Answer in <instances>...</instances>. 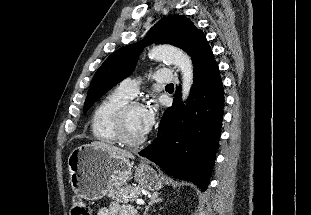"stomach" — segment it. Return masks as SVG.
I'll list each match as a JSON object with an SVG mask.
<instances>
[{
	"label": "stomach",
	"mask_w": 311,
	"mask_h": 215,
	"mask_svg": "<svg viewBox=\"0 0 311 215\" xmlns=\"http://www.w3.org/2000/svg\"><path fill=\"white\" fill-rule=\"evenodd\" d=\"M69 181L73 191L83 199H101L110 191L134 178L140 187L156 191L163 187L160 175L148 164L134 167L121 156L85 144L71 151L68 157Z\"/></svg>",
	"instance_id": "stomach-1"
}]
</instances>
